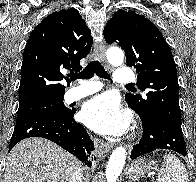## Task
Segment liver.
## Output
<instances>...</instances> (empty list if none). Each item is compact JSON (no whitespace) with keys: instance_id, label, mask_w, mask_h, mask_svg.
Returning a JSON list of instances; mask_svg holds the SVG:
<instances>
[{"instance_id":"6515ba94","label":"liver","mask_w":196,"mask_h":182,"mask_svg":"<svg viewBox=\"0 0 196 182\" xmlns=\"http://www.w3.org/2000/svg\"><path fill=\"white\" fill-rule=\"evenodd\" d=\"M77 159L43 138H27L8 155L4 182H70Z\"/></svg>"}]
</instances>
